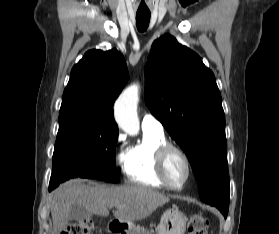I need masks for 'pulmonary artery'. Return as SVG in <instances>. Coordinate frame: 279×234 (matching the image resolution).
Wrapping results in <instances>:
<instances>
[{
    "mask_svg": "<svg viewBox=\"0 0 279 234\" xmlns=\"http://www.w3.org/2000/svg\"><path fill=\"white\" fill-rule=\"evenodd\" d=\"M141 127L143 131L163 133L162 123L152 114L146 113L142 117Z\"/></svg>",
    "mask_w": 279,
    "mask_h": 234,
    "instance_id": "obj_1",
    "label": "pulmonary artery"
}]
</instances>
